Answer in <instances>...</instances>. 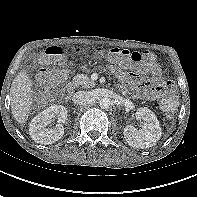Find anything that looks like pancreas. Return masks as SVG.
<instances>
[{"mask_svg":"<svg viewBox=\"0 0 197 197\" xmlns=\"http://www.w3.org/2000/svg\"><path fill=\"white\" fill-rule=\"evenodd\" d=\"M81 86L82 88H92L95 86V82L91 80L87 75L85 74H77L73 77L72 82L70 83L71 88H76Z\"/></svg>","mask_w":197,"mask_h":197,"instance_id":"obj_1","label":"pancreas"}]
</instances>
